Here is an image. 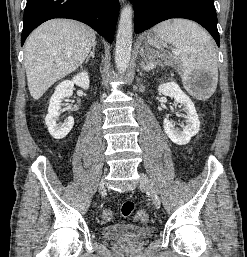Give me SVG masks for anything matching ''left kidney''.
<instances>
[{
    "label": "left kidney",
    "instance_id": "obj_1",
    "mask_svg": "<svg viewBox=\"0 0 247 257\" xmlns=\"http://www.w3.org/2000/svg\"><path fill=\"white\" fill-rule=\"evenodd\" d=\"M158 92L164 96L173 97L177 103L184 106L186 115V125L181 124V129L175 128V123L169 119H164L163 127L167 136L172 142L178 145L187 144L195 136L200 128V122L194 103L179 87L176 82H168L159 85Z\"/></svg>",
    "mask_w": 247,
    "mask_h": 257
}]
</instances>
